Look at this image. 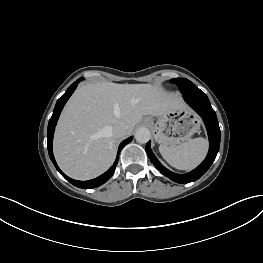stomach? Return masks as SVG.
Returning <instances> with one entry per match:
<instances>
[{
	"instance_id": "obj_1",
	"label": "stomach",
	"mask_w": 263,
	"mask_h": 263,
	"mask_svg": "<svg viewBox=\"0 0 263 263\" xmlns=\"http://www.w3.org/2000/svg\"><path fill=\"white\" fill-rule=\"evenodd\" d=\"M145 122L153 129L156 142L165 146H176L190 140L200 129L199 118L185 106L158 117L156 123L150 117Z\"/></svg>"
}]
</instances>
